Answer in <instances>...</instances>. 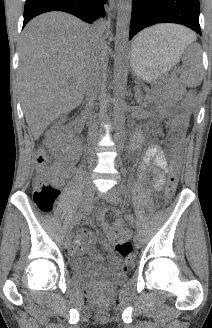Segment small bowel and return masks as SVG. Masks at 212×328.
I'll return each mask as SVG.
<instances>
[{"instance_id": "small-bowel-1", "label": "small bowel", "mask_w": 212, "mask_h": 328, "mask_svg": "<svg viewBox=\"0 0 212 328\" xmlns=\"http://www.w3.org/2000/svg\"><path fill=\"white\" fill-rule=\"evenodd\" d=\"M140 166L142 169L152 166L154 175L153 183L155 188L161 189L164 186L165 173H167L169 167L166 156L159 147H148L141 158ZM52 171V179L55 182L60 183L70 175L74 174L75 168L55 164ZM98 221L100 226L104 229L106 237L109 241L115 240L118 236H122L124 238H128L130 236V231L120 221H117L113 226H109L103 215L99 216ZM97 242L101 243L108 252V263H105L102 255L94 250V245ZM71 253L75 259L80 258L86 253L90 254L92 267L98 273H111L125 270V266L110 250L109 245L106 242L94 237L93 233L89 230H79L72 245Z\"/></svg>"}]
</instances>
